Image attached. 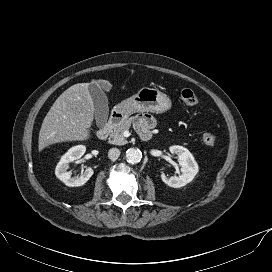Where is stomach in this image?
<instances>
[{
	"mask_svg": "<svg viewBox=\"0 0 272 272\" xmlns=\"http://www.w3.org/2000/svg\"><path fill=\"white\" fill-rule=\"evenodd\" d=\"M172 108V101L166 95L154 88L143 87L135 95L115 106L124 117L135 112L164 113Z\"/></svg>",
	"mask_w": 272,
	"mask_h": 272,
	"instance_id": "1",
	"label": "stomach"
}]
</instances>
